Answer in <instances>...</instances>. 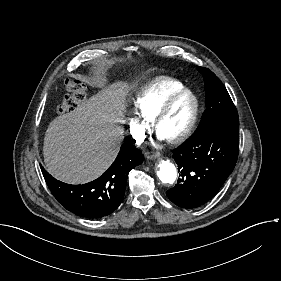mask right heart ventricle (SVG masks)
<instances>
[{"label": "right heart ventricle", "mask_w": 281, "mask_h": 281, "mask_svg": "<svg viewBox=\"0 0 281 281\" xmlns=\"http://www.w3.org/2000/svg\"><path fill=\"white\" fill-rule=\"evenodd\" d=\"M185 89L181 81L167 78L134 94L129 100L134 113L139 116L134 123L144 130V120L149 119L170 96Z\"/></svg>", "instance_id": "obj_1"}]
</instances>
